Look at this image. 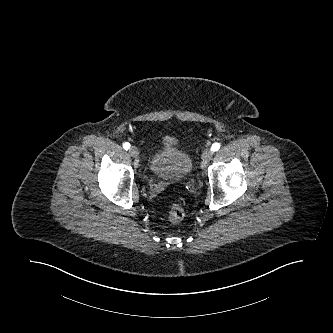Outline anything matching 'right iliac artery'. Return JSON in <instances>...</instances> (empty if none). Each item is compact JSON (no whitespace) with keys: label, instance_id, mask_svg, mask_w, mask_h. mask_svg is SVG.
Instances as JSON below:
<instances>
[{"label":"right iliac artery","instance_id":"right-iliac-artery-1","mask_svg":"<svg viewBox=\"0 0 333 333\" xmlns=\"http://www.w3.org/2000/svg\"><path fill=\"white\" fill-rule=\"evenodd\" d=\"M123 148H124L125 150H128V149L130 148V144H129L128 142H125V143L123 144Z\"/></svg>","mask_w":333,"mask_h":333}]
</instances>
